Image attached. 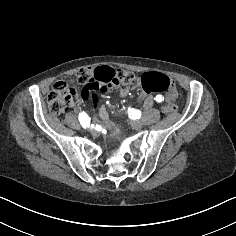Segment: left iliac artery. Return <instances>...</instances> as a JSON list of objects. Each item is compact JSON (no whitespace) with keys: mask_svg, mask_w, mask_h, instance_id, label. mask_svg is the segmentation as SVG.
Wrapping results in <instances>:
<instances>
[{"mask_svg":"<svg viewBox=\"0 0 236 236\" xmlns=\"http://www.w3.org/2000/svg\"><path fill=\"white\" fill-rule=\"evenodd\" d=\"M155 100H156L157 102H162V101L164 100V97H162V95H157L156 98H155Z\"/></svg>","mask_w":236,"mask_h":236,"instance_id":"44dca946","label":"left iliac artery"}]
</instances>
